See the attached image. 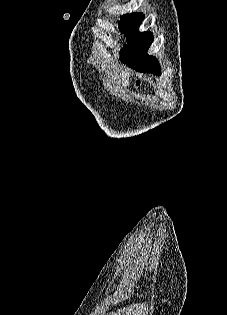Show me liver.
Masks as SVG:
<instances>
[{
    "mask_svg": "<svg viewBox=\"0 0 227 315\" xmlns=\"http://www.w3.org/2000/svg\"><path fill=\"white\" fill-rule=\"evenodd\" d=\"M129 73L128 72H121L117 75V78L122 81V84L124 86H127L129 84Z\"/></svg>",
    "mask_w": 227,
    "mask_h": 315,
    "instance_id": "6515ba94",
    "label": "liver"
}]
</instances>
